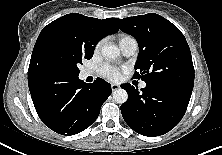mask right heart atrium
<instances>
[{
  "instance_id": "obj_1",
  "label": "right heart atrium",
  "mask_w": 222,
  "mask_h": 155,
  "mask_svg": "<svg viewBox=\"0 0 222 155\" xmlns=\"http://www.w3.org/2000/svg\"><path fill=\"white\" fill-rule=\"evenodd\" d=\"M102 44H103V41H102V40L99 41V42L96 44L95 49H94V52H95V53L99 52V50H100L101 47H102Z\"/></svg>"
}]
</instances>
